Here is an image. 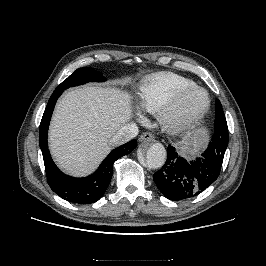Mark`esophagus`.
Here are the masks:
<instances>
[{
    "instance_id": "obj_1",
    "label": "esophagus",
    "mask_w": 266,
    "mask_h": 266,
    "mask_svg": "<svg viewBox=\"0 0 266 266\" xmlns=\"http://www.w3.org/2000/svg\"><path fill=\"white\" fill-rule=\"evenodd\" d=\"M154 140V135H152L151 133H143L140 135L139 137V141L143 142V141H153Z\"/></svg>"
}]
</instances>
